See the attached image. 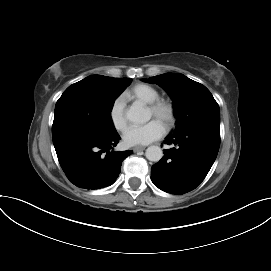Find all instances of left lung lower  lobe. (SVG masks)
Returning <instances> with one entry per match:
<instances>
[{
	"label": "left lung lower lobe",
	"mask_w": 271,
	"mask_h": 271,
	"mask_svg": "<svg viewBox=\"0 0 271 271\" xmlns=\"http://www.w3.org/2000/svg\"><path fill=\"white\" fill-rule=\"evenodd\" d=\"M163 158L151 168L159 189L181 195L195 189L212 167L220 146V125L202 124L167 136Z\"/></svg>",
	"instance_id": "0a47b994"
}]
</instances>
